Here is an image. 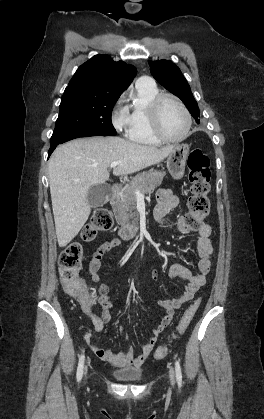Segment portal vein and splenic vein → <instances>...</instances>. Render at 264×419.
<instances>
[{"label":"portal vein and splenic vein","instance_id":"obj_1","mask_svg":"<svg viewBox=\"0 0 264 419\" xmlns=\"http://www.w3.org/2000/svg\"><path fill=\"white\" fill-rule=\"evenodd\" d=\"M119 163H120V162H118V161L112 162V163L110 164V167H111V168H115V167H116ZM136 197H137V198H144V197L142 196V194H141L139 191H136Z\"/></svg>","mask_w":264,"mask_h":419}]
</instances>
